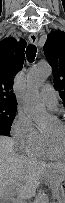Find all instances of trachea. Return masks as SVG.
<instances>
[{
  "label": "trachea",
  "instance_id": "obj_1",
  "mask_svg": "<svg viewBox=\"0 0 65 203\" xmlns=\"http://www.w3.org/2000/svg\"><path fill=\"white\" fill-rule=\"evenodd\" d=\"M36 52H37V48L35 45L30 44L27 46L26 48V56L28 61L31 63L34 61L35 57H36Z\"/></svg>",
  "mask_w": 65,
  "mask_h": 203
}]
</instances>
